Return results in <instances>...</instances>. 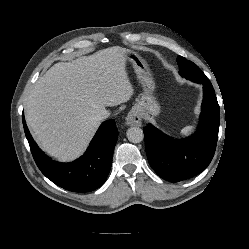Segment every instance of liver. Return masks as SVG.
Masks as SVG:
<instances>
[{
  "instance_id": "1",
  "label": "liver",
  "mask_w": 249,
  "mask_h": 249,
  "mask_svg": "<svg viewBox=\"0 0 249 249\" xmlns=\"http://www.w3.org/2000/svg\"><path fill=\"white\" fill-rule=\"evenodd\" d=\"M129 51L115 46L59 62L38 79L26 97L25 117L49 155L60 161L79 157L100 125L97 114L131 98Z\"/></svg>"
}]
</instances>
